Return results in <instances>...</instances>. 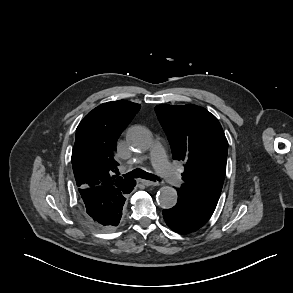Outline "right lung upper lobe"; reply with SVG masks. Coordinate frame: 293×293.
<instances>
[{
    "mask_svg": "<svg viewBox=\"0 0 293 293\" xmlns=\"http://www.w3.org/2000/svg\"><path fill=\"white\" fill-rule=\"evenodd\" d=\"M140 107L126 100L107 102L80 122L72 152V167L79 188L121 187L130 182L118 177L115 146Z\"/></svg>",
    "mask_w": 293,
    "mask_h": 293,
    "instance_id": "right-lung-upper-lobe-1",
    "label": "right lung upper lobe"
}]
</instances>
